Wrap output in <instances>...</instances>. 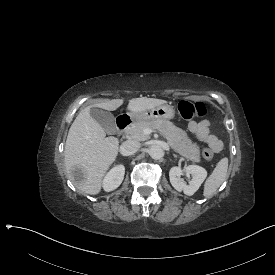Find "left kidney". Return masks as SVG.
Returning <instances> with one entry per match:
<instances>
[{"instance_id": "obj_1", "label": "left kidney", "mask_w": 275, "mask_h": 275, "mask_svg": "<svg viewBox=\"0 0 275 275\" xmlns=\"http://www.w3.org/2000/svg\"><path fill=\"white\" fill-rule=\"evenodd\" d=\"M185 172L192 175L189 184L181 178L183 171L181 167H172L169 171L170 182L177 191H183L186 195H193L201 186L207 176V171L198 165H189L185 168Z\"/></svg>"}]
</instances>
